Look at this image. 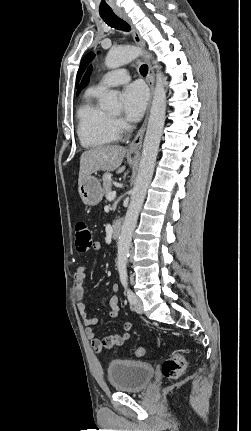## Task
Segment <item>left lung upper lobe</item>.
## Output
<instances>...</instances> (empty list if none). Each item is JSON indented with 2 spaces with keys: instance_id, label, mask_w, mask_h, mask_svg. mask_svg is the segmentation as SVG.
Wrapping results in <instances>:
<instances>
[{
  "instance_id": "obj_1",
  "label": "left lung upper lobe",
  "mask_w": 251,
  "mask_h": 431,
  "mask_svg": "<svg viewBox=\"0 0 251 431\" xmlns=\"http://www.w3.org/2000/svg\"><path fill=\"white\" fill-rule=\"evenodd\" d=\"M95 54L90 52L87 55L84 56V58L82 59L81 63H80V67L77 73V83L79 82L81 75L83 74L84 70L86 69L88 63L94 58Z\"/></svg>"
}]
</instances>
